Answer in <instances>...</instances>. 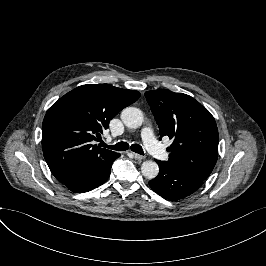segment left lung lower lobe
<instances>
[{"mask_svg": "<svg viewBox=\"0 0 266 266\" xmlns=\"http://www.w3.org/2000/svg\"><path fill=\"white\" fill-rule=\"evenodd\" d=\"M159 165L158 176L149 185L165 199L176 201L185 198L200 188L204 179L190 172L170 165L166 161L155 160Z\"/></svg>", "mask_w": 266, "mask_h": 266, "instance_id": "obj_1", "label": "left lung lower lobe"}]
</instances>
